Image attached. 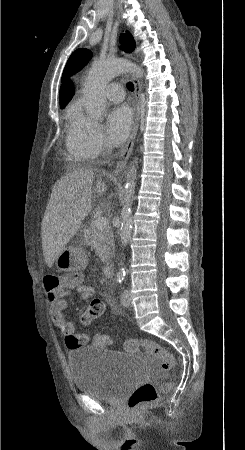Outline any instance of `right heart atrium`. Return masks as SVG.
Here are the masks:
<instances>
[{
	"label": "right heart atrium",
	"instance_id": "obj_1",
	"mask_svg": "<svg viewBox=\"0 0 245 450\" xmlns=\"http://www.w3.org/2000/svg\"><path fill=\"white\" fill-rule=\"evenodd\" d=\"M70 127L68 149L74 155L93 159L107 150L108 144L102 129L88 115L78 111Z\"/></svg>",
	"mask_w": 245,
	"mask_h": 450
}]
</instances>
